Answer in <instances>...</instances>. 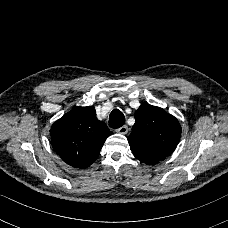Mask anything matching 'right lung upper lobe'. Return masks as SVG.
<instances>
[{
	"label": "right lung upper lobe",
	"instance_id": "obj_1",
	"mask_svg": "<svg viewBox=\"0 0 228 228\" xmlns=\"http://www.w3.org/2000/svg\"><path fill=\"white\" fill-rule=\"evenodd\" d=\"M111 134L107 125L96 118L93 107L81 106L66 113L50 130L55 152L65 163L77 168L89 167Z\"/></svg>",
	"mask_w": 228,
	"mask_h": 228
}]
</instances>
